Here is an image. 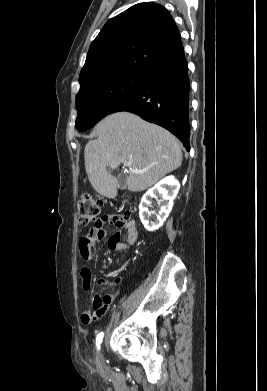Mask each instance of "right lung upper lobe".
I'll list each match as a JSON object with an SVG mask.
<instances>
[{
  "label": "right lung upper lobe",
  "mask_w": 267,
  "mask_h": 391,
  "mask_svg": "<svg viewBox=\"0 0 267 391\" xmlns=\"http://www.w3.org/2000/svg\"><path fill=\"white\" fill-rule=\"evenodd\" d=\"M183 53L170 13L156 3H139L110 19L92 42L80 72V87L105 73H148Z\"/></svg>",
  "instance_id": "1"
}]
</instances>
